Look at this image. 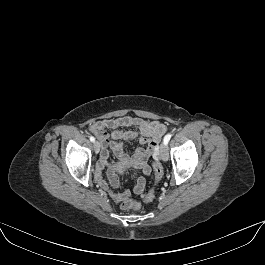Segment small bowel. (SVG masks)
Returning <instances> with one entry per match:
<instances>
[{
  "label": "small bowel",
  "mask_w": 265,
  "mask_h": 265,
  "mask_svg": "<svg viewBox=\"0 0 265 265\" xmlns=\"http://www.w3.org/2000/svg\"><path fill=\"white\" fill-rule=\"evenodd\" d=\"M123 128H136L134 130H122ZM90 131L102 142L103 150L97 166L96 180L99 186L108 191L109 185L102 179L101 171L108 166L110 148L120 162L141 170L142 175L137 178L134 193L141 195L146 186V176L150 175L151 167L148 163L150 158H158V145L164 134L166 126L159 121L147 120L140 117L119 116L95 121L90 125ZM109 131V132H108ZM137 140L144 147L137 148L131 154L124 150V143ZM110 182L118 186L119 178L116 169L112 166L108 170ZM110 196L116 202H121L129 197L128 192L113 193Z\"/></svg>",
  "instance_id": "obj_1"
}]
</instances>
